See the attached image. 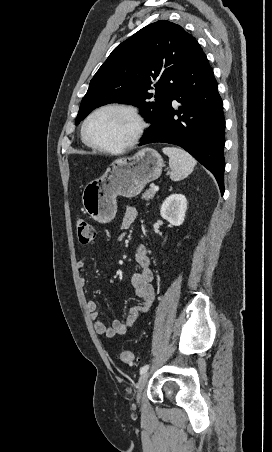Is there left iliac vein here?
<instances>
[{"mask_svg":"<svg viewBox=\"0 0 272 452\" xmlns=\"http://www.w3.org/2000/svg\"><path fill=\"white\" fill-rule=\"evenodd\" d=\"M148 378H149V372H147V371L144 372L143 374H141V376L139 377L138 383L136 385V388H137V400L138 401L140 400L141 393H142L144 387L147 384Z\"/></svg>","mask_w":272,"mask_h":452,"instance_id":"left-iliac-vein-1","label":"left iliac vein"}]
</instances>
